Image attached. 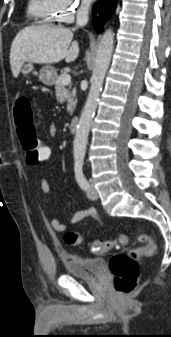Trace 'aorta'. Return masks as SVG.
<instances>
[{
  "mask_svg": "<svg viewBox=\"0 0 171 337\" xmlns=\"http://www.w3.org/2000/svg\"><path fill=\"white\" fill-rule=\"evenodd\" d=\"M113 47L114 33L112 29H107L98 46L90 90L77 125L73 143L74 157H84L85 155L90 125L96 112L103 81L110 65Z\"/></svg>",
  "mask_w": 171,
  "mask_h": 337,
  "instance_id": "aorta-1",
  "label": "aorta"
}]
</instances>
